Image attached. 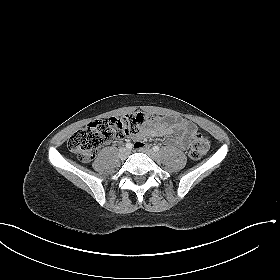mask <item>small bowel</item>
Segmentation results:
<instances>
[{
  "label": "small bowel",
  "mask_w": 280,
  "mask_h": 280,
  "mask_svg": "<svg viewBox=\"0 0 280 280\" xmlns=\"http://www.w3.org/2000/svg\"><path fill=\"white\" fill-rule=\"evenodd\" d=\"M179 132L180 136L178 142L182 147H186L190 137L196 132V126L190 121L184 119L168 120L162 117L156 118V120L148 127L142 128L133 138L137 141H141L144 137H161L170 136ZM143 144L141 142L136 143V147L140 148Z\"/></svg>",
  "instance_id": "c3829d8e"
}]
</instances>
